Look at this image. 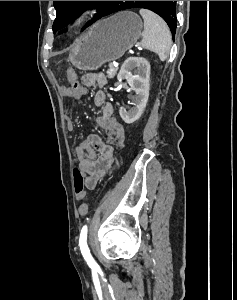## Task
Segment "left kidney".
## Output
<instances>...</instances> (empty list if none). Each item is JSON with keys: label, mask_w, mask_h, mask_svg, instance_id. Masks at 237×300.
I'll return each instance as SVG.
<instances>
[{"label": "left kidney", "mask_w": 237, "mask_h": 300, "mask_svg": "<svg viewBox=\"0 0 237 300\" xmlns=\"http://www.w3.org/2000/svg\"><path fill=\"white\" fill-rule=\"evenodd\" d=\"M136 69V75H132L131 71ZM120 79H127L132 91H135V105L129 111L120 109L119 115L124 123H135L140 119L149 97V81H150V63L143 57H128L124 61L118 75Z\"/></svg>", "instance_id": "1"}]
</instances>
